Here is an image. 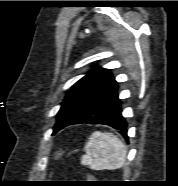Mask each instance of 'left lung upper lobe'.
Returning <instances> with one entry per match:
<instances>
[{
    "label": "left lung upper lobe",
    "instance_id": "left-lung-upper-lobe-1",
    "mask_svg": "<svg viewBox=\"0 0 178 186\" xmlns=\"http://www.w3.org/2000/svg\"><path fill=\"white\" fill-rule=\"evenodd\" d=\"M118 82L108 69L94 68L76 82L67 93L58 112L53 134L78 115L117 93Z\"/></svg>",
    "mask_w": 178,
    "mask_h": 186
}]
</instances>
